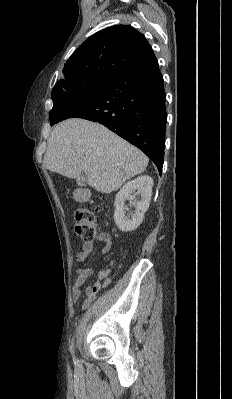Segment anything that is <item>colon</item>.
Listing matches in <instances>:
<instances>
[{
    "label": "colon",
    "mask_w": 232,
    "mask_h": 399,
    "mask_svg": "<svg viewBox=\"0 0 232 399\" xmlns=\"http://www.w3.org/2000/svg\"><path fill=\"white\" fill-rule=\"evenodd\" d=\"M97 213L102 211L100 206L95 208ZM84 219V221H82ZM74 231H76V236L74 238L89 240L93 239V232H95V224L92 221V213L89 211H81L78 210L77 214H74ZM105 282L112 283L113 282V275L106 273L105 274ZM103 289L102 283H97L93 285V298H98V290Z\"/></svg>",
    "instance_id": "obj_1"
}]
</instances>
